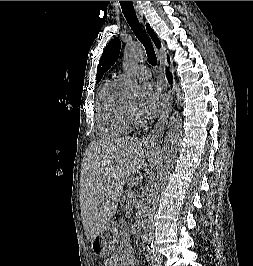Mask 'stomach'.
I'll list each match as a JSON object with an SVG mask.
<instances>
[{
	"mask_svg": "<svg viewBox=\"0 0 253 266\" xmlns=\"http://www.w3.org/2000/svg\"><path fill=\"white\" fill-rule=\"evenodd\" d=\"M119 238V229L114 221L109 222L91 242V249L98 257L109 256L115 249Z\"/></svg>",
	"mask_w": 253,
	"mask_h": 266,
	"instance_id": "obj_1",
	"label": "stomach"
}]
</instances>
